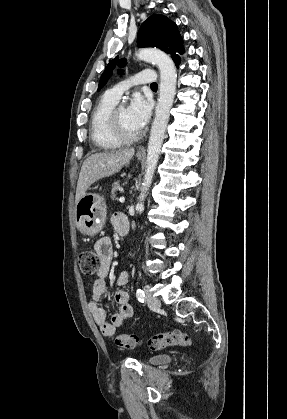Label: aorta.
Wrapping results in <instances>:
<instances>
[{"label": "aorta", "mask_w": 287, "mask_h": 419, "mask_svg": "<svg viewBox=\"0 0 287 419\" xmlns=\"http://www.w3.org/2000/svg\"><path fill=\"white\" fill-rule=\"evenodd\" d=\"M137 56L141 60L156 64L160 71L159 99L150 131L142 190L136 205L137 213H141L144 210V200L151 186L161 152L170 109L175 97L177 72L172 59L158 49L143 48L138 51Z\"/></svg>", "instance_id": "1"}]
</instances>
